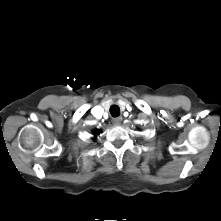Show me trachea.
<instances>
[{
	"mask_svg": "<svg viewBox=\"0 0 221 221\" xmlns=\"http://www.w3.org/2000/svg\"><path fill=\"white\" fill-rule=\"evenodd\" d=\"M110 114L113 116V117H117L120 115V108L118 105H112L110 107Z\"/></svg>",
	"mask_w": 221,
	"mask_h": 221,
	"instance_id": "1",
	"label": "trachea"
}]
</instances>
